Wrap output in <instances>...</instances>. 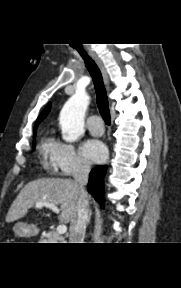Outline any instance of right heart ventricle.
<instances>
[{
  "label": "right heart ventricle",
  "instance_id": "right-heart-ventricle-1",
  "mask_svg": "<svg viewBox=\"0 0 181 288\" xmlns=\"http://www.w3.org/2000/svg\"><path fill=\"white\" fill-rule=\"evenodd\" d=\"M49 142H50V141H48V140L43 141V143H42V149H43L44 152H46V149H47V146H48Z\"/></svg>",
  "mask_w": 181,
  "mask_h": 288
}]
</instances>
